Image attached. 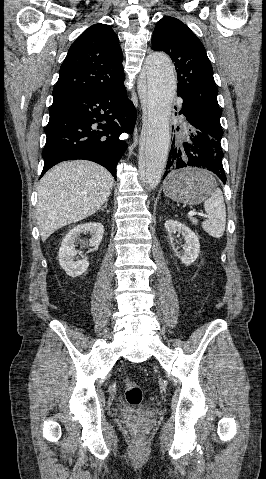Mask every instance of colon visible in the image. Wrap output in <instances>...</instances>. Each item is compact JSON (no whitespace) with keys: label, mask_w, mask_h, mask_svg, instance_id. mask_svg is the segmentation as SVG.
<instances>
[{"label":"colon","mask_w":266,"mask_h":479,"mask_svg":"<svg viewBox=\"0 0 266 479\" xmlns=\"http://www.w3.org/2000/svg\"><path fill=\"white\" fill-rule=\"evenodd\" d=\"M125 386H126V390H125L126 402L130 406L140 405L143 400V391L141 387L135 384L130 378H126ZM135 439L137 442H140L142 438L140 435H137Z\"/></svg>","instance_id":"obj_1"}]
</instances>
